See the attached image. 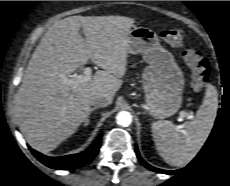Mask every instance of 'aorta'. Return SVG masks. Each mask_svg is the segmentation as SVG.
Listing matches in <instances>:
<instances>
[{"mask_svg":"<svg viewBox=\"0 0 230 186\" xmlns=\"http://www.w3.org/2000/svg\"><path fill=\"white\" fill-rule=\"evenodd\" d=\"M116 122L122 127H128L132 123V115L128 111H120L116 115Z\"/></svg>","mask_w":230,"mask_h":186,"instance_id":"1","label":"aorta"}]
</instances>
